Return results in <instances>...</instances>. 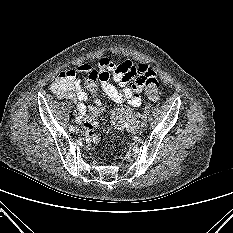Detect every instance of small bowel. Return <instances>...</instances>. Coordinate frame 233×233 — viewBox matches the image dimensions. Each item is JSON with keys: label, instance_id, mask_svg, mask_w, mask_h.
Segmentation results:
<instances>
[{"label": "small bowel", "instance_id": "obj_1", "mask_svg": "<svg viewBox=\"0 0 233 233\" xmlns=\"http://www.w3.org/2000/svg\"><path fill=\"white\" fill-rule=\"evenodd\" d=\"M97 65L98 71L106 73L108 76L106 80L101 82V87L105 94L117 103L126 101L132 107L141 105L140 93L146 79L150 76H156V71L153 67L144 63L133 64L130 60L116 64L104 57L98 61ZM93 70L95 68L92 64L84 63L65 72L71 80L72 88L63 97L77 104L76 119L78 122H82L84 119L86 112L85 102L88 98L86 92L81 88L78 74H90ZM110 76L119 88L109 83Z\"/></svg>", "mask_w": 233, "mask_h": 233}]
</instances>
